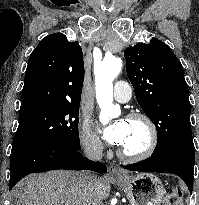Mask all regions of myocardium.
I'll return each mask as SVG.
<instances>
[{
	"label": "myocardium",
	"mask_w": 199,
	"mask_h": 205,
	"mask_svg": "<svg viewBox=\"0 0 199 205\" xmlns=\"http://www.w3.org/2000/svg\"><path fill=\"white\" fill-rule=\"evenodd\" d=\"M129 121H138L145 125L147 130V142L144 148L137 152H128L122 148H119L117 154L120 158L130 161H142L149 158L156 150L159 142L158 129L154 121L145 113L133 112L128 115Z\"/></svg>",
	"instance_id": "obj_1"
}]
</instances>
